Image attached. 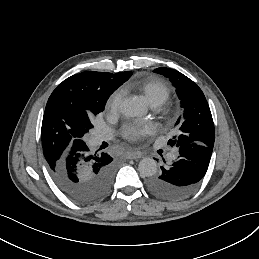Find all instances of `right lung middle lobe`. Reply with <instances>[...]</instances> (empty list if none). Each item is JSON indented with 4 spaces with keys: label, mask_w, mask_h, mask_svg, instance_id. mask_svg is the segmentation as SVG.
Segmentation results:
<instances>
[{
    "label": "right lung middle lobe",
    "mask_w": 259,
    "mask_h": 259,
    "mask_svg": "<svg viewBox=\"0 0 259 259\" xmlns=\"http://www.w3.org/2000/svg\"><path fill=\"white\" fill-rule=\"evenodd\" d=\"M103 110H104V109H102V111H103ZM102 111H101V112H102ZM92 127H93V126H92V124H91V125L89 126V129H91ZM83 137H84V136H82V138H83Z\"/></svg>",
    "instance_id": "obj_1"
}]
</instances>
